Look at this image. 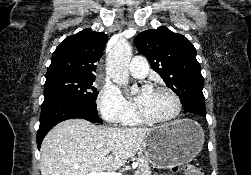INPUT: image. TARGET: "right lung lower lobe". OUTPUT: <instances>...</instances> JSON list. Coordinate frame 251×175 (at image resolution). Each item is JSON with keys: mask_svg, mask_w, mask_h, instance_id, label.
I'll list each match as a JSON object with an SVG mask.
<instances>
[{"mask_svg": "<svg viewBox=\"0 0 251 175\" xmlns=\"http://www.w3.org/2000/svg\"><path fill=\"white\" fill-rule=\"evenodd\" d=\"M73 118L101 123L95 102L87 103L57 95L45 97L41 106L40 126L37 132L38 149H40L41 142L50 129L59 122Z\"/></svg>", "mask_w": 251, "mask_h": 175, "instance_id": "obj_1", "label": "right lung lower lobe"}]
</instances>
